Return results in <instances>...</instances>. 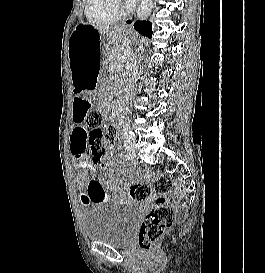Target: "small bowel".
<instances>
[{"mask_svg": "<svg viewBox=\"0 0 265 273\" xmlns=\"http://www.w3.org/2000/svg\"><path fill=\"white\" fill-rule=\"evenodd\" d=\"M87 104H89L87 95H74V104L71 105L73 110L69 111L72 115V124H77L71 136V155L77 169L79 185L83 189L80 194V203L83 207L94 204H113V199L125 198L124 179L119 174H112L109 178L91 177L93 170H97V165H94V160L91 161L87 156L88 129L83 125L86 112H88ZM86 182L87 190H85Z\"/></svg>", "mask_w": 265, "mask_h": 273, "instance_id": "c3829d8e", "label": "small bowel"}]
</instances>
